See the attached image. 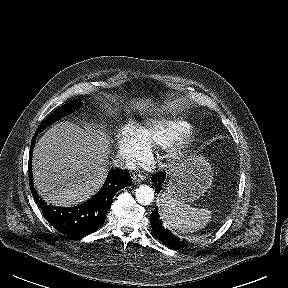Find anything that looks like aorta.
I'll use <instances>...</instances> for the list:
<instances>
[{
  "mask_svg": "<svg viewBox=\"0 0 288 288\" xmlns=\"http://www.w3.org/2000/svg\"><path fill=\"white\" fill-rule=\"evenodd\" d=\"M135 197L139 204L150 205L154 200V191L148 185H140L135 190Z\"/></svg>",
  "mask_w": 288,
  "mask_h": 288,
  "instance_id": "1",
  "label": "aorta"
}]
</instances>
